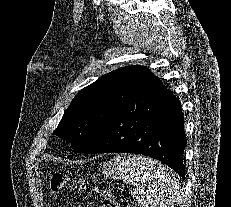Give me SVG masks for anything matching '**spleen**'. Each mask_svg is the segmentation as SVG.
<instances>
[{
  "label": "spleen",
  "mask_w": 231,
  "mask_h": 207,
  "mask_svg": "<svg viewBox=\"0 0 231 207\" xmlns=\"http://www.w3.org/2000/svg\"><path fill=\"white\" fill-rule=\"evenodd\" d=\"M103 173L129 183L132 196L144 207H174L183 200L175 175L151 158L118 155L104 163Z\"/></svg>",
  "instance_id": "3e777b00"
}]
</instances>
